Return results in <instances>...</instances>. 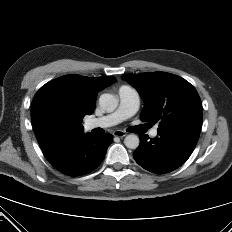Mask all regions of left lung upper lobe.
<instances>
[{
    "label": "left lung upper lobe",
    "instance_id": "1",
    "mask_svg": "<svg viewBox=\"0 0 232 232\" xmlns=\"http://www.w3.org/2000/svg\"><path fill=\"white\" fill-rule=\"evenodd\" d=\"M137 89L145 107L143 121L160 120L159 129L195 127L201 129L203 113L196 89L185 79L170 73L125 74L122 76Z\"/></svg>",
    "mask_w": 232,
    "mask_h": 232
}]
</instances>
